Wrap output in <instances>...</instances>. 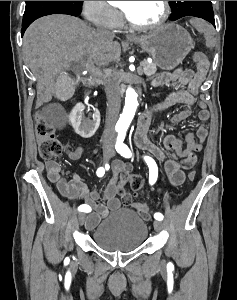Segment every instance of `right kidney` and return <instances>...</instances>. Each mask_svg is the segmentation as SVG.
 Listing matches in <instances>:
<instances>
[{"label":"right kidney","mask_w":237,"mask_h":300,"mask_svg":"<svg viewBox=\"0 0 237 300\" xmlns=\"http://www.w3.org/2000/svg\"><path fill=\"white\" fill-rule=\"evenodd\" d=\"M85 109V105L77 103V105L73 107L69 119L77 135H80L83 139H90V137L95 135L100 125V113L98 109H94L93 107V113H90L86 119L84 113Z\"/></svg>","instance_id":"right-kidney-1"}]
</instances>
